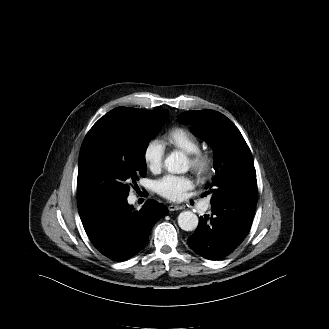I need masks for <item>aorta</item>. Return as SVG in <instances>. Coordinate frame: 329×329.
<instances>
[{
  "mask_svg": "<svg viewBox=\"0 0 329 329\" xmlns=\"http://www.w3.org/2000/svg\"><path fill=\"white\" fill-rule=\"evenodd\" d=\"M168 172L174 174L186 173L189 169L187 157L182 152H172L164 161ZM198 217L191 211H183L178 216V225L184 231H193L198 226Z\"/></svg>",
  "mask_w": 329,
  "mask_h": 329,
  "instance_id": "762f6f07",
  "label": "aorta"
}]
</instances>
